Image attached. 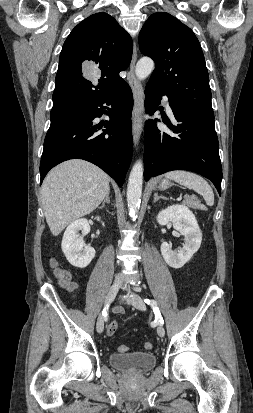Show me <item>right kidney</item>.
I'll use <instances>...</instances> for the list:
<instances>
[{
  "mask_svg": "<svg viewBox=\"0 0 253 413\" xmlns=\"http://www.w3.org/2000/svg\"><path fill=\"white\" fill-rule=\"evenodd\" d=\"M99 219V217H97ZM82 236H78V231ZM90 232L88 220L85 218L75 220L65 230L62 239V251L69 263L78 268L87 267L95 257V249L87 246L83 237Z\"/></svg>",
  "mask_w": 253,
  "mask_h": 413,
  "instance_id": "ca27d5eb",
  "label": "right kidney"
}]
</instances>
